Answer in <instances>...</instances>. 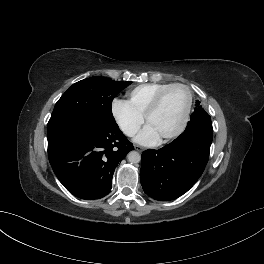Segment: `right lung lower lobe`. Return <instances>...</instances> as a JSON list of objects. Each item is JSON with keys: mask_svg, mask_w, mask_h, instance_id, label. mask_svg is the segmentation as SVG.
Segmentation results:
<instances>
[{"mask_svg": "<svg viewBox=\"0 0 264 264\" xmlns=\"http://www.w3.org/2000/svg\"><path fill=\"white\" fill-rule=\"evenodd\" d=\"M133 149L116 123L81 122L48 135V157L64 187L85 200L107 195L118 163Z\"/></svg>", "mask_w": 264, "mask_h": 264, "instance_id": "obj_1", "label": "right lung lower lobe"}]
</instances>
